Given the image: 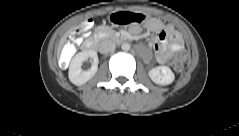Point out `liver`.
<instances>
[{"label":"liver","instance_id":"liver-1","mask_svg":"<svg viewBox=\"0 0 239 136\" xmlns=\"http://www.w3.org/2000/svg\"><path fill=\"white\" fill-rule=\"evenodd\" d=\"M70 31L64 34V36L60 40V47L65 43L67 36L69 35Z\"/></svg>","mask_w":239,"mask_h":136}]
</instances>
